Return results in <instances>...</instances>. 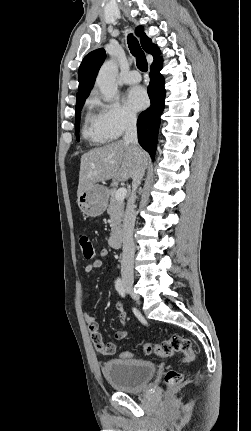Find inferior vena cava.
I'll list each match as a JSON object with an SVG mask.
<instances>
[{
  "label": "inferior vena cava",
  "mask_w": 251,
  "mask_h": 431,
  "mask_svg": "<svg viewBox=\"0 0 251 431\" xmlns=\"http://www.w3.org/2000/svg\"><path fill=\"white\" fill-rule=\"evenodd\" d=\"M125 143L130 144L135 149H138V140H137V127H136V116L130 115L126 120V128L125 134L123 137ZM145 173V167L140 166L136 173L133 176L132 182V195L129 200V203L126 208L124 221H123V254L121 260V274L123 279H131L133 280V263H134V254H135V246L133 240V231L136 220L135 213V199H136V190L138 186L141 184V180Z\"/></svg>",
  "instance_id": "obj_1"
}]
</instances>
